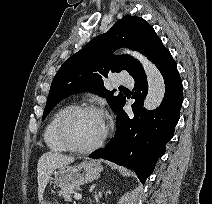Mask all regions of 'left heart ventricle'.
Wrapping results in <instances>:
<instances>
[{"label":"left heart ventricle","mask_w":212,"mask_h":204,"mask_svg":"<svg viewBox=\"0 0 212 204\" xmlns=\"http://www.w3.org/2000/svg\"><path fill=\"white\" fill-rule=\"evenodd\" d=\"M104 117L95 112H78L70 117L67 132L71 141L80 147L96 142L103 133Z\"/></svg>","instance_id":"b2bd125f"}]
</instances>
